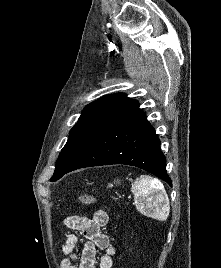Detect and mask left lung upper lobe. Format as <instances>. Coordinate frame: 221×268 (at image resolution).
<instances>
[{
  "label": "left lung upper lobe",
  "mask_w": 221,
  "mask_h": 268,
  "mask_svg": "<svg viewBox=\"0 0 221 268\" xmlns=\"http://www.w3.org/2000/svg\"><path fill=\"white\" fill-rule=\"evenodd\" d=\"M138 107V101L126 97L124 93L105 95L88 104L70 131L69 139L59 154L51 181L61 178L69 166L111 123Z\"/></svg>",
  "instance_id": "5c2ea615"
}]
</instances>
